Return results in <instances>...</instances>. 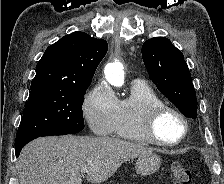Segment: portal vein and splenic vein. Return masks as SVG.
Returning <instances> with one entry per match:
<instances>
[{
    "instance_id": "portal-vein-and-splenic-vein-1",
    "label": "portal vein and splenic vein",
    "mask_w": 224,
    "mask_h": 184,
    "mask_svg": "<svg viewBox=\"0 0 224 184\" xmlns=\"http://www.w3.org/2000/svg\"><path fill=\"white\" fill-rule=\"evenodd\" d=\"M88 172V169L87 168H82L81 169V173L83 174V173H87Z\"/></svg>"
}]
</instances>
